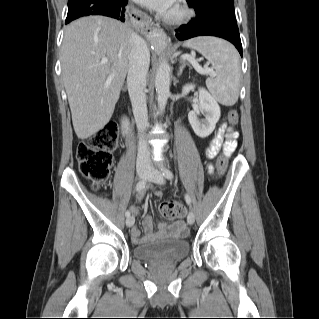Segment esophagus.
<instances>
[{
	"instance_id": "34e87169",
	"label": "esophagus",
	"mask_w": 319,
	"mask_h": 319,
	"mask_svg": "<svg viewBox=\"0 0 319 319\" xmlns=\"http://www.w3.org/2000/svg\"><path fill=\"white\" fill-rule=\"evenodd\" d=\"M146 35L152 44H160L167 40L166 33L158 25L146 27Z\"/></svg>"
}]
</instances>
